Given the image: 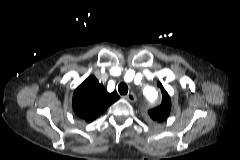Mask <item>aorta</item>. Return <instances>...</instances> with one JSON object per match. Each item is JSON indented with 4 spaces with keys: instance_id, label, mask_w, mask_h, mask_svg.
<instances>
[{
    "instance_id": "762f6f07",
    "label": "aorta",
    "mask_w": 240,
    "mask_h": 160,
    "mask_svg": "<svg viewBox=\"0 0 240 160\" xmlns=\"http://www.w3.org/2000/svg\"><path fill=\"white\" fill-rule=\"evenodd\" d=\"M141 92L149 106H155L158 103V92L153 87L144 85L142 86Z\"/></svg>"
}]
</instances>
